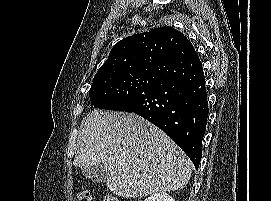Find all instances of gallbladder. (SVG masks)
I'll use <instances>...</instances> for the list:
<instances>
[{
  "instance_id": "bac80fb5",
  "label": "gallbladder",
  "mask_w": 271,
  "mask_h": 201,
  "mask_svg": "<svg viewBox=\"0 0 271 201\" xmlns=\"http://www.w3.org/2000/svg\"><path fill=\"white\" fill-rule=\"evenodd\" d=\"M82 175L95 183H104L107 177V168L103 163L81 169Z\"/></svg>"
}]
</instances>
